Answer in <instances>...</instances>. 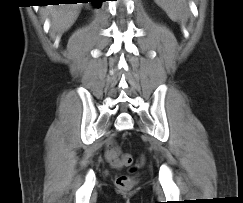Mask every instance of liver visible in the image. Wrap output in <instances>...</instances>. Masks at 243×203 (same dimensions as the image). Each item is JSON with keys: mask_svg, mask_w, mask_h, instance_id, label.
<instances>
[{"mask_svg": "<svg viewBox=\"0 0 243 203\" xmlns=\"http://www.w3.org/2000/svg\"><path fill=\"white\" fill-rule=\"evenodd\" d=\"M79 4L71 5H49L44 9L49 16L52 27L59 33L67 31L75 22L80 11Z\"/></svg>", "mask_w": 243, "mask_h": 203, "instance_id": "liver-1", "label": "liver"}]
</instances>
